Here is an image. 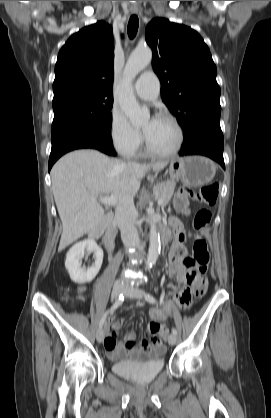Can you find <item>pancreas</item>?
<instances>
[{
	"label": "pancreas",
	"instance_id": "1",
	"mask_svg": "<svg viewBox=\"0 0 271 418\" xmlns=\"http://www.w3.org/2000/svg\"><path fill=\"white\" fill-rule=\"evenodd\" d=\"M176 183L168 180L162 182L153 188L154 195L157 199H162V206H166L173 196Z\"/></svg>",
	"mask_w": 271,
	"mask_h": 418
}]
</instances>
